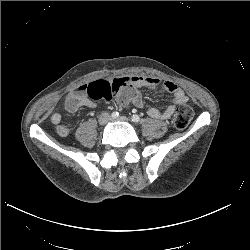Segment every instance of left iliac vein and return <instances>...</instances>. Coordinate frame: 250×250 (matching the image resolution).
<instances>
[{"label":"left iliac vein","instance_id":"left-iliac-vein-1","mask_svg":"<svg viewBox=\"0 0 250 250\" xmlns=\"http://www.w3.org/2000/svg\"><path fill=\"white\" fill-rule=\"evenodd\" d=\"M114 121H121V122H129V119L126 118L125 116H120L118 118H114Z\"/></svg>","mask_w":250,"mask_h":250}]
</instances>
